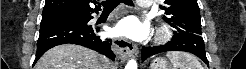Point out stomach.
<instances>
[{
    "instance_id": "0dacf381",
    "label": "stomach",
    "mask_w": 246,
    "mask_h": 69,
    "mask_svg": "<svg viewBox=\"0 0 246 69\" xmlns=\"http://www.w3.org/2000/svg\"><path fill=\"white\" fill-rule=\"evenodd\" d=\"M168 67L167 61L160 57L155 58L150 65V69H169Z\"/></svg>"
}]
</instances>
